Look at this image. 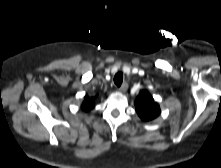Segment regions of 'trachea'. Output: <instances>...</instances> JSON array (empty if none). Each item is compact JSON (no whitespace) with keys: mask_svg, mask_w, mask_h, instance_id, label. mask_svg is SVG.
I'll return each mask as SVG.
<instances>
[{"mask_svg":"<svg viewBox=\"0 0 221 168\" xmlns=\"http://www.w3.org/2000/svg\"><path fill=\"white\" fill-rule=\"evenodd\" d=\"M123 82V74L121 72H118L114 76V83L116 84L117 87H120Z\"/></svg>","mask_w":221,"mask_h":168,"instance_id":"trachea-1","label":"trachea"}]
</instances>
